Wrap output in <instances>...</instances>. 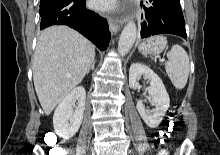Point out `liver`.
Returning <instances> with one entry per match:
<instances>
[{
  "instance_id": "6515ba94",
  "label": "liver",
  "mask_w": 220,
  "mask_h": 155,
  "mask_svg": "<svg viewBox=\"0 0 220 155\" xmlns=\"http://www.w3.org/2000/svg\"><path fill=\"white\" fill-rule=\"evenodd\" d=\"M95 58L94 45L67 26L40 34L33 57V81L46 115L83 80Z\"/></svg>"
}]
</instances>
